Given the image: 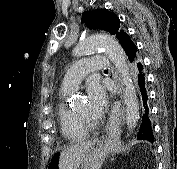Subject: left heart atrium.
<instances>
[{"instance_id": "obj_1", "label": "left heart atrium", "mask_w": 177, "mask_h": 169, "mask_svg": "<svg viewBox=\"0 0 177 169\" xmlns=\"http://www.w3.org/2000/svg\"><path fill=\"white\" fill-rule=\"evenodd\" d=\"M87 101L90 110L97 115H102L107 108L108 99L104 88L97 82H90L87 86Z\"/></svg>"}]
</instances>
